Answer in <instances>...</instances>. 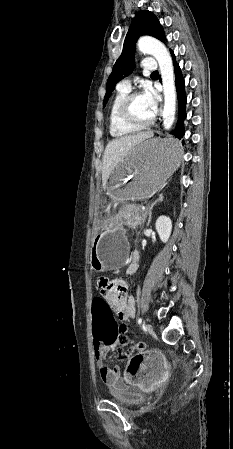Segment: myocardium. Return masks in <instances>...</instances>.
I'll return each instance as SVG.
<instances>
[{"label": "myocardium", "instance_id": "obj_1", "mask_svg": "<svg viewBox=\"0 0 233 449\" xmlns=\"http://www.w3.org/2000/svg\"><path fill=\"white\" fill-rule=\"evenodd\" d=\"M141 95L139 91H132L126 94L121 100L118 107V115L122 122L135 128H145L152 125L155 121V115L146 121H139L136 119L131 111V104L134 98Z\"/></svg>", "mask_w": 233, "mask_h": 449}]
</instances>
